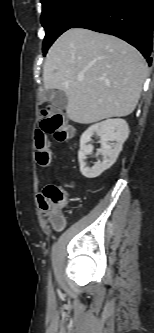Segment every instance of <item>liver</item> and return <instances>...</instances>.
<instances>
[{
    "label": "liver",
    "mask_w": 154,
    "mask_h": 333,
    "mask_svg": "<svg viewBox=\"0 0 154 333\" xmlns=\"http://www.w3.org/2000/svg\"><path fill=\"white\" fill-rule=\"evenodd\" d=\"M146 77V61L135 47L83 28L64 32L43 66L44 88L65 92L67 117L80 124L130 115Z\"/></svg>",
    "instance_id": "6515ba94"
}]
</instances>
